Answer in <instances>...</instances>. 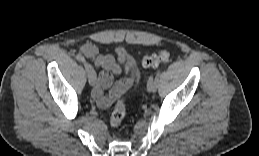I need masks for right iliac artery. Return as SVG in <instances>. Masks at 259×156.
<instances>
[{
  "instance_id": "82829eb1",
  "label": "right iliac artery",
  "mask_w": 259,
  "mask_h": 156,
  "mask_svg": "<svg viewBox=\"0 0 259 156\" xmlns=\"http://www.w3.org/2000/svg\"><path fill=\"white\" fill-rule=\"evenodd\" d=\"M76 59L82 63H84V65L86 64V60L85 58L81 55V54H77L76 55Z\"/></svg>"
}]
</instances>
